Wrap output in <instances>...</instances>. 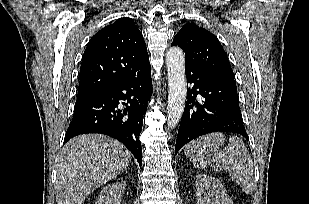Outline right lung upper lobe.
I'll use <instances>...</instances> for the list:
<instances>
[{"mask_svg":"<svg viewBox=\"0 0 309 204\" xmlns=\"http://www.w3.org/2000/svg\"><path fill=\"white\" fill-rule=\"evenodd\" d=\"M149 68L142 33L131 18H120L89 41L82 58L77 99L132 79Z\"/></svg>","mask_w":309,"mask_h":204,"instance_id":"1","label":"right lung upper lobe"}]
</instances>
